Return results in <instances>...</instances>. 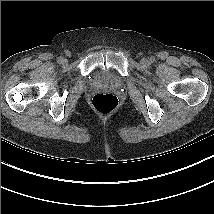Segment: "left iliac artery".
<instances>
[{
  "label": "left iliac artery",
  "instance_id": "1",
  "mask_svg": "<svg viewBox=\"0 0 214 214\" xmlns=\"http://www.w3.org/2000/svg\"><path fill=\"white\" fill-rule=\"evenodd\" d=\"M150 61H151V63H153L154 62V58H150Z\"/></svg>",
  "mask_w": 214,
  "mask_h": 214
}]
</instances>
